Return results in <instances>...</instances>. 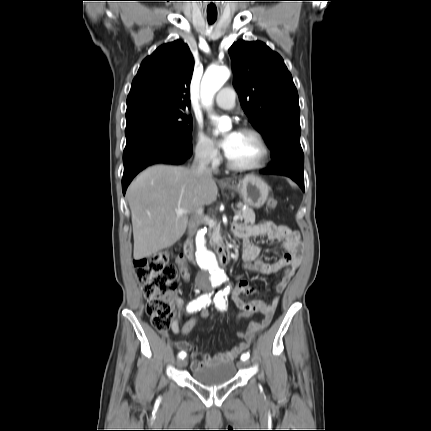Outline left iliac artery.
<instances>
[{
    "label": "left iliac artery",
    "mask_w": 431,
    "mask_h": 431,
    "mask_svg": "<svg viewBox=\"0 0 431 431\" xmlns=\"http://www.w3.org/2000/svg\"><path fill=\"white\" fill-rule=\"evenodd\" d=\"M228 290H229V288H227L224 291L219 292L215 295V298H214L215 305L221 311H224L227 308L225 297L229 293ZM248 358H249V353L243 354L241 356V360H243V361L247 360Z\"/></svg>",
    "instance_id": "1"
}]
</instances>
